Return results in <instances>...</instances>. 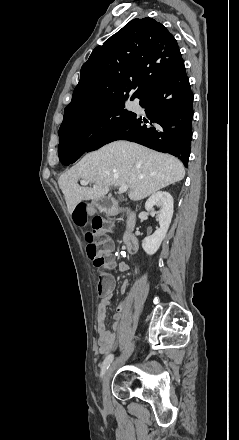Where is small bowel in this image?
<instances>
[{
  "label": "small bowel",
  "instance_id": "obj_1",
  "mask_svg": "<svg viewBox=\"0 0 239 440\" xmlns=\"http://www.w3.org/2000/svg\"><path fill=\"white\" fill-rule=\"evenodd\" d=\"M118 268L121 272H126L131 268V264L126 262H120ZM138 272V270H137ZM129 286L128 281H124L122 290H126ZM114 281L110 277V283L108 290L103 293V296L98 304L97 310V330H98V348L101 354H107L112 352L118 344V331L120 327V321L122 313L124 311V303H120L117 306L116 313L113 316L114 322L112 330L106 327L107 307L110 305L113 298Z\"/></svg>",
  "mask_w": 239,
  "mask_h": 440
}]
</instances>
